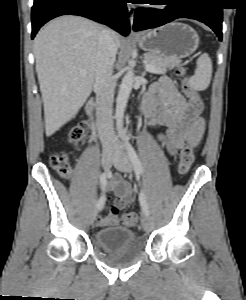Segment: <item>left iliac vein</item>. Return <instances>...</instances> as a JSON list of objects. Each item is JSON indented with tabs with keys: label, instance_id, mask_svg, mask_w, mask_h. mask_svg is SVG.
<instances>
[{
	"label": "left iliac vein",
	"instance_id": "4c4485c4",
	"mask_svg": "<svg viewBox=\"0 0 246 300\" xmlns=\"http://www.w3.org/2000/svg\"><path fill=\"white\" fill-rule=\"evenodd\" d=\"M113 165L123 173H130L133 169V163L123 149L115 153ZM141 223L144 231L150 232L153 229V222L149 215L144 214Z\"/></svg>",
	"mask_w": 246,
	"mask_h": 300
}]
</instances>
